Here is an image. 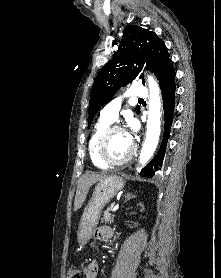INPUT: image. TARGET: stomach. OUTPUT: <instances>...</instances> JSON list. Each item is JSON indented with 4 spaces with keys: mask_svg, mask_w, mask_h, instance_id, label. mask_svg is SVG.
Segmentation results:
<instances>
[{
    "mask_svg": "<svg viewBox=\"0 0 221 278\" xmlns=\"http://www.w3.org/2000/svg\"><path fill=\"white\" fill-rule=\"evenodd\" d=\"M124 185L125 181L122 177L110 175L95 186L92 197L84 208L78 228L77 239L81 246H85L91 239L102 209L124 188Z\"/></svg>",
    "mask_w": 221,
    "mask_h": 278,
    "instance_id": "obj_1",
    "label": "stomach"
}]
</instances>
